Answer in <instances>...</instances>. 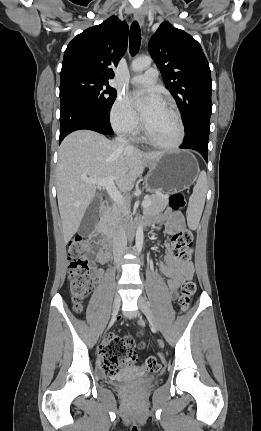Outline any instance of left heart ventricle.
<instances>
[{
	"label": "left heart ventricle",
	"instance_id": "obj_1",
	"mask_svg": "<svg viewBox=\"0 0 261 431\" xmlns=\"http://www.w3.org/2000/svg\"><path fill=\"white\" fill-rule=\"evenodd\" d=\"M152 137L163 144L173 143L178 134V125L174 114L162 106L151 116L145 124Z\"/></svg>",
	"mask_w": 261,
	"mask_h": 431
}]
</instances>
